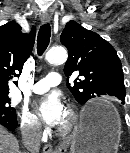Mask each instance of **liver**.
<instances>
[{"mask_svg": "<svg viewBox=\"0 0 130 153\" xmlns=\"http://www.w3.org/2000/svg\"><path fill=\"white\" fill-rule=\"evenodd\" d=\"M0 153H20L16 137L0 125Z\"/></svg>", "mask_w": 130, "mask_h": 153, "instance_id": "1", "label": "liver"}]
</instances>
